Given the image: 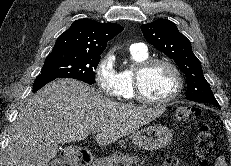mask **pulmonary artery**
<instances>
[{"label": "pulmonary artery", "mask_w": 231, "mask_h": 166, "mask_svg": "<svg viewBox=\"0 0 231 166\" xmlns=\"http://www.w3.org/2000/svg\"><path fill=\"white\" fill-rule=\"evenodd\" d=\"M130 48L132 50L139 51V52H142V53H146L147 52V47L143 43H134V44H132L130 46Z\"/></svg>", "instance_id": "e3ab8cb5"}]
</instances>
